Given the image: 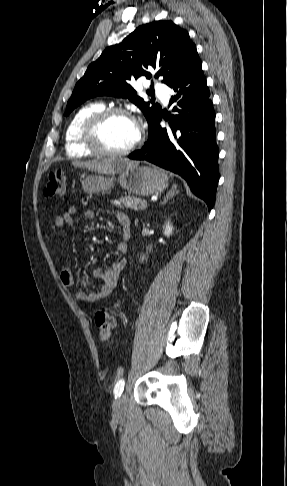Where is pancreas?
<instances>
[{"mask_svg":"<svg viewBox=\"0 0 287 486\" xmlns=\"http://www.w3.org/2000/svg\"><path fill=\"white\" fill-rule=\"evenodd\" d=\"M118 202H119L121 207H126V208H129V209H133L135 211L145 209V208L142 207V205L147 204L144 199L137 198V197H134V196L121 197L118 200Z\"/></svg>","mask_w":287,"mask_h":486,"instance_id":"obj_1","label":"pancreas"}]
</instances>
